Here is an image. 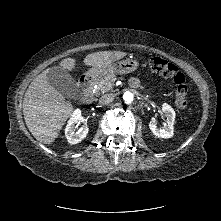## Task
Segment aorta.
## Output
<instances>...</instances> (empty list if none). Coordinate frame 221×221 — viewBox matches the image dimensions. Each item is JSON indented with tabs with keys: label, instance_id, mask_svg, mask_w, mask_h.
Instances as JSON below:
<instances>
[{
	"label": "aorta",
	"instance_id": "obj_1",
	"mask_svg": "<svg viewBox=\"0 0 221 221\" xmlns=\"http://www.w3.org/2000/svg\"><path fill=\"white\" fill-rule=\"evenodd\" d=\"M123 99L125 102H131L133 101V94L131 92H125L123 95Z\"/></svg>",
	"mask_w": 221,
	"mask_h": 221
}]
</instances>
